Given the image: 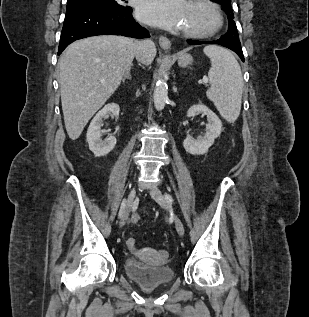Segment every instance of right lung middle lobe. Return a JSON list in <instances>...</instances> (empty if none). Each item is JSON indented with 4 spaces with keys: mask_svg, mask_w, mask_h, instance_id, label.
<instances>
[{
    "mask_svg": "<svg viewBox=\"0 0 309 317\" xmlns=\"http://www.w3.org/2000/svg\"><path fill=\"white\" fill-rule=\"evenodd\" d=\"M124 0H67V4H85L114 10H126L130 7Z\"/></svg>",
    "mask_w": 309,
    "mask_h": 317,
    "instance_id": "obj_1",
    "label": "right lung middle lobe"
}]
</instances>
